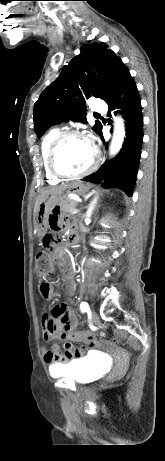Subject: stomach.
Wrapping results in <instances>:
<instances>
[{
    "instance_id": "stomach-1",
    "label": "stomach",
    "mask_w": 165,
    "mask_h": 461,
    "mask_svg": "<svg viewBox=\"0 0 165 461\" xmlns=\"http://www.w3.org/2000/svg\"><path fill=\"white\" fill-rule=\"evenodd\" d=\"M88 186L83 182H73L68 189V193H76L83 195L87 192ZM64 199L63 193H54L46 195L39 204L38 212L36 214L35 227L37 234L43 237L48 229L49 221L48 214H51V207L53 204H58Z\"/></svg>"
}]
</instances>
